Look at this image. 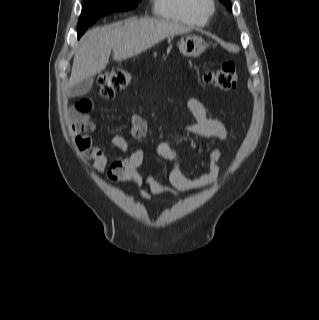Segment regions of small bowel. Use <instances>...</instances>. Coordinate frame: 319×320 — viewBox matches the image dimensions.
Segmentation results:
<instances>
[{
	"mask_svg": "<svg viewBox=\"0 0 319 320\" xmlns=\"http://www.w3.org/2000/svg\"><path fill=\"white\" fill-rule=\"evenodd\" d=\"M91 105L88 99L81 100L77 104L76 111L71 114L70 131L75 147L82 153L84 158L93 160L94 172L97 175H101L107 170L110 158L104 148L93 144L91 133L95 129V124L89 114ZM186 105L196 120V124L186 128L188 134L207 139H228V127L223 122L211 119L201 101L196 98H189ZM148 133L147 122L138 114H133L131 116V135L139 139ZM109 142L114 148L125 152L129 150L128 140L122 135L111 136ZM156 151L159 157L171 164L169 174L171 186L159 182L150 171H147L145 177L137 173V169L145 163V153L140 150L132 151L124 159L116 161L121 163L122 168L113 173L109 170L110 179L114 180V177L117 176V180L130 184L136 189V195L145 202L150 201L152 196H170L177 199L180 192H189L219 183L220 168L218 164L223 157L220 150L213 149L209 152L207 172L194 178L183 174L177 153L168 142H159ZM143 183L146 184L147 190L140 188Z\"/></svg>",
	"mask_w": 319,
	"mask_h": 320,
	"instance_id": "small-bowel-1",
	"label": "small bowel"
}]
</instances>
